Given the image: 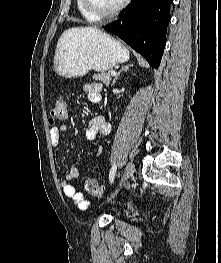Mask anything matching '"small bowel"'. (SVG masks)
Here are the masks:
<instances>
[{"mask_svg": "<svg viewBox=\"0 0 221 263\" xmlns=\"http://www.w3.org/2000/svg\"><path fill=\"white\" fill-rule=\"evenodd\" d=\"M83 90L87 93L89 101L93 104H97L101 101L102 84L98 82H91L83 85ZM69 130L66 124L54 126L51 129V142L53 146H57L60 143L61 135L67 133ZM110 132V124L102 116H95L90 120L89 128L86 131V138L89 141H94L98 136H106ZM97 152H101V148L98 147ZM79 177V170L75 167L69 169V171L60 179V185L64 192V195L72 200V202L79 208H85L88 205V201L85 199L82 192L76 189L70 182Z\"/></svg>", "mask_w": 221, "mask_h": 263, "instance_id": "1", "label": "small bowel"}]
</instances>
